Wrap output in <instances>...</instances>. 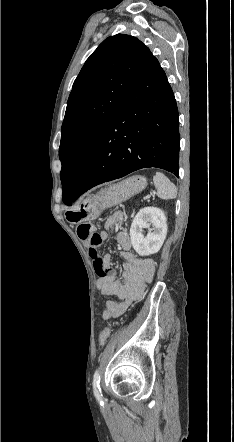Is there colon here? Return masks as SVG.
I'll use <instances>...</instances> for the list:
<instances>
[{
	"label": "colon",
	"instance_id": "1",
	"mask_svg": "<svg viewBox=\"0 0 234 442\" xmlns=\"http://www.w3.org/2000/svg\"><path fill=\"white\" fill-rule=\"evenodd\" d=\"M77 234L79 238L88 246L89 250L95 251L96 247L100 244L99 234L96 233L95 228L90 223L80 224L77 228ZM111 328H104L99 336V343L104 344L109 338Z\"/></svg>",
	"mask_w": 234,
	"mask_h": 442
}]
</instances>
